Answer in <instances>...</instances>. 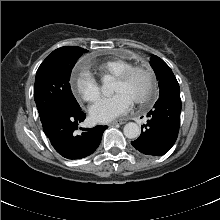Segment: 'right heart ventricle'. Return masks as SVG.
Instances as JSON below:
<instances>
[{"label":"right heart ventricle","instance_id":"1","mask_svg":"<svg viewBox=\"0 0 220 220\" xmlns=\"http://www.w3.org/2000/svg\"><path fill=\"white\" fill-rule=\"evenodd\" d=\"M131 66H133L131 61L116 58L102 62L97 66L96 70L101 77L117 78Z\"/></svg>","mask_w":220,"mask_h":220}]
</instances>
